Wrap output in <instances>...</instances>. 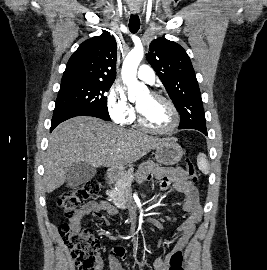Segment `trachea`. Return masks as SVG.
Listing matches in <instances>:
<instances>
[{
	"mask_svg": "<svg viewBox=\"0 0 267 270\" xmlns=\"http://www.w3.org/2000/svg\"><path fill=\"white\" fill-rule=\"evenodd\" d=\"M140 28V19L138 15H131L129 20V30L132 33H136Z\"/></svg>",
	"mask_w": 267,
	"mask_h": 270,
	"instance_id": "3493384b",
	"label": "trachea"
}]
</instances>
